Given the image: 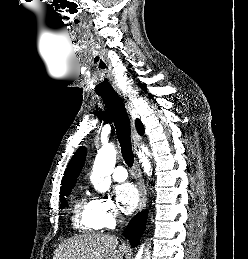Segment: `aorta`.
Instances as JSON below:
<instances>
[{"mask_svg":"<svg viewBox=\"0 0 248 259\" xmlns=\"http://www.w3.org/2000/svg\"><path fill=\"white\" fill-rule=\"evenodd\" d=\"M146 152V151H145ZM142 167H144V172L151 175L152 169L151 164L145 156L144 151H140L138 154ZM116 162V149L112 144L104 145L98 155L95 158L93 165V170L90 176V180L94 188L100 192L105 193L109 190L111 185L110 174L112 173ZM143 259H150L148 249L146 253L142 256Z\"/></svg>","mask_w":248,"mask_h":259,"instance_id":"1","label":"aorta"}]
</instances>
